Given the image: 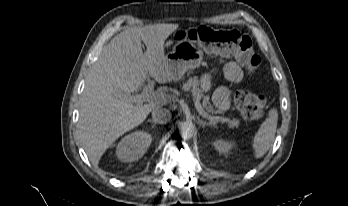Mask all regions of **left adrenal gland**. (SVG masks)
Wrapping results in <instances>:
<instances>
[{"label":"left adrenal gland","instance_id":"1","mask_svg":"<svg viewBox=\"0 0 348 206\" xmlns=\"http://www.w3.org/2000/svg\"><path fill=\"white\" fill-rule=\"evenodd\" d=\"M198 124H200L203 128H204L205 126H215L213 123L203 121V120L200 119V118H198Z\"/></svg>","mask_w":348,"mask_h":206}]
</instances>
